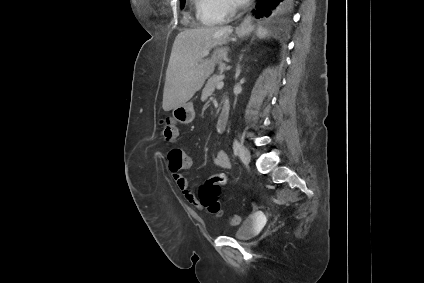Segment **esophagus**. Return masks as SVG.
Instances as JSON below:
<instances>
[{
  "label": "esophagus",
  "mask_w": 424,
  "mask_h": 283,
  "mask_svg": "<svg viewBox=\"0 0 424 283\" xmlns=\"http://www.w3.org/2000/svg\"><path fill=\"white\" fill-rule=\"evenodd\" d=\"M251 21H252V17L250 14H248L243 22L240 24V26L237 28V31H247L249 29H251L252 25H251Z\"/></svg>",
  "instance_id": "1"
}]
</instances>
